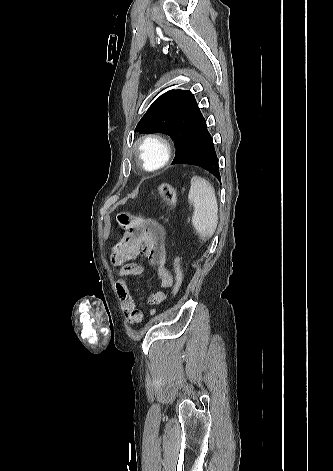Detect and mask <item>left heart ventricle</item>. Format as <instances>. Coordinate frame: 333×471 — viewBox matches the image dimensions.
<instances>
[{"instance_id":"b2bd125f","label":"left heart ventricle","mask_w":333,"mask_h":471,"mask_svg":"<svg viewBox=\"0 0 333 471\" xmlns=\"http://www.w3.org/2000/svg\"><path fill=\"white\" fill-rule=\"evenodd\" d=\"M161 152L156 146H148L145 150V161L146 164L151 167L154 166L160 159Z\"/></svg>"}]
</instances>
